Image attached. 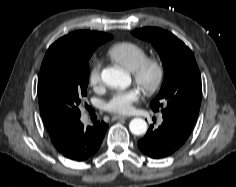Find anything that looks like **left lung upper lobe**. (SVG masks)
<instances>
[{"mask_svg": "<svg viewBox=\"0 0 236 187\" xmlns=\"http://www.w3.org/2000/svg\"><path fill=\"white\" fill-rule=\"evenodd\" d=\"M132 34L149 41L158 51L164 68V81L150 103L153 111L162 109L193 127L201 104V77L192 51L172 33L155 27L134 30Z\"/></svg>", "mask_w": 236, "mask_h": 187, "instance_id": "obj_1", "label": "left lung upper lobe"}]
</instances>
